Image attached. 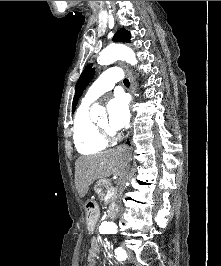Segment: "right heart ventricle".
Masks as SVG:
<instances>
[{
    "label": "right heart ventricle",
    "instance_id": "right-heart-ventricle-1",
    "mask_svg": "<svg viewBox=\"0 0 221 266\" xmlns=\"http://www.w3.org/2000/svg\"><path fill=\"white\" fill-rule=\"evenodd\" d=\"M73 140L77 151L83 155H95L106 149L107 139L104 138L97 124L88 111V106L81 105L74 117Z\"/></svg>",
    "mask_w": 221,
    "mask_h": 266
}]
</instances>
